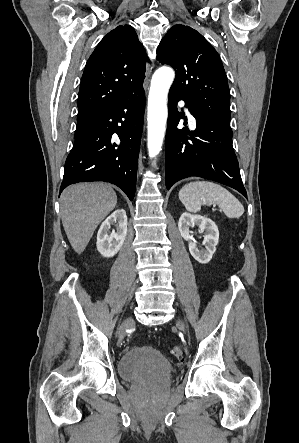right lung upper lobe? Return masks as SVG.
<instances>
[{
	"instance_id": "1",
	"label": "right lung upper lobe",
	"mask_w": 299,
	"mask_h": 443,
	"mask_svg": "<svg viewBox=\"0 0 299 443\" xmlns=\"http://www.w3.org/2000/svg\"><path fill=\"white\" fill-rule=\"evenodd\" d=\"M145 50L130 25L111 30L85 66L78 96V123L143 88Z\"/></svg>"
}]
</instances>
